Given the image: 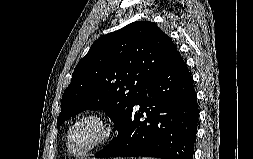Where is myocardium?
<instances>
[{
  "mask_svg": "<svg viewBox=\"0 0 253 159\" xmlns=\"http://www.w3.org/2000/svg\"><path fill=\"white\" fill-rule=\"evenodd\" d=\"M88 119H95L99 121L102 126L103 130L100 136L85 150L78 152L74 150L71 146V139L72 135L74 133V130L76 127L83 121L88 120ZM116 133V125L114 121L111 119L110 116H108L105 112L100 111V110H91L87 111L81 115H79L73 123L70 125L68 131H67V137H66V145L68 151L77 157H84L89 155L91 152L96 150L97 148L101 147L105 143H107L109 140L113 138V136Z\"/></svg>",
  "mask_w": 253,
  "mask_h": 159,
  "instance_id": "f54148a6",
  "label": "myocardium"
}]
</instances>
